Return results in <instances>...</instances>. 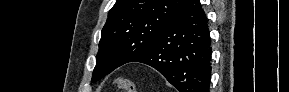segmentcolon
<instances>
[{
    "label": "colon",
    "mask_w": 289,
    "mask_h": 92,
    "mask_svg": "<svg viewBox=\"0 0 289 92\" xmlns=\"http://www.w3.org/2000/svg\"><path fill=\"white\" fill-rule=\"evenodd\" d=\"M116 85L121 91L137 92L136 84L132 80L122 79L117 81Z\"/></svg>",
    "instance_id": "5ec220e1"
}]
</instances>
